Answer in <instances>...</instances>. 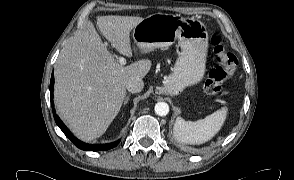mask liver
<instances>
[{"instance_id":"1","label":"liver","mask_w":294,"mask_h":180,"mask_svg":"<svg viewBox=\"0 0 294 180\" xmlns=\"http://www.w3.org/2000/svg\"><path fill=\"white\" fill-rule=\"evenodd\" d=\"M142 20L108 15L98 17L97 26L113 48L131 57L130 31ZM150 68L151 61L144 59L127 66L118 63L88 22L67 40L55 63L57 113L79 139L92 141L119 113L127 82L144 78Z\"/></svg>"}]
</instances>
